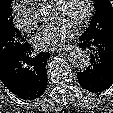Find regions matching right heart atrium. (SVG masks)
I'll list each match as a JSON object with an SVG mask.
<instances>
[{
  "label": "right heart atrium",
  "instance_id": "d8ad5b80",
  "mask_svg": "<svg viewBox=\"0 0 113 113\" xmlns=\"http://www.w3.org/2000/svg\"><path fill=\"white\" fill-rule=\"evenodd\" d=\"M11 16L14 24L22 33L31 34L38 29V12L27 1L14 0L11 5Z\"/></svg>",
  "mask_w": 113,
  "mask_h": 113
}]
</instances>
